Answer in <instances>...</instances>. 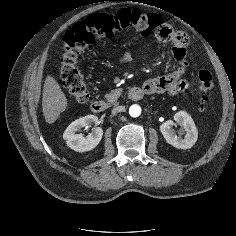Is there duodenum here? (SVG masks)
<instances>
[{
	"instance_id": "obj_1",
	"label": "duodenum",
	"mask_w": 236,
	"mask_h": 236,
	"mask_svg": "<svg viewBox=\"0 0 236 236\" xmlns=\"http://www.w3.org/2000/svg\"><path fill=\"white\" fill-rule=\"evenodd\" d=\"M146 94L144 88L142 86H134L128 90V97L132 101H138L143 98ZM110 106V103L103 100H94L90 104V108L95 113H102L106 111Z\"/></svg>"
}]
</instances>
